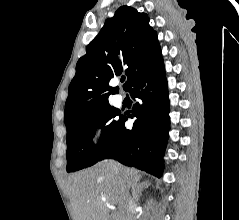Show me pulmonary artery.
I'll use <instances>...</instances> for the list:
<instances>
[{
  "label": "pulmonary artery",
  "mask_w": 239,
  "mask_h": 220,
  "mask_svg": "<svg viewBox=\"0 0 239 220\" xmlns=\"http://www.w3.org/2000/svg\"><path fill=\"white\" fill-rule=\"evenodd\" d=\"M114 103L116 105H121L122 103V98L120 96H116L115 99H114Z\"/></svg>",
  "instance_id": "obj_1"
}]
</instances>
